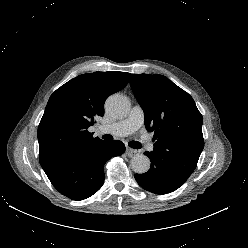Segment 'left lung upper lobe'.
<instances>
[{
    "mask_svg": "<svg viewBox=\"0 0 248 248\" xmlns=\"http://www.w3.org/2000/svg\"><path fill=\"white\" fill-rule=\"evenodd\" d=\"M130 85L146 129L154 132L151 155L188 179L204 147L203 117L194 100L159 74H132Z\"/></svg>",
    "mask_w": 248,
    "mask_h": 248,
    "instance_id": "left-lung-upper-lobe-1",
    "label": "left lung upper lobe"
}]
</instances>
